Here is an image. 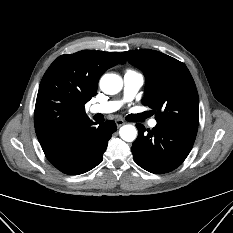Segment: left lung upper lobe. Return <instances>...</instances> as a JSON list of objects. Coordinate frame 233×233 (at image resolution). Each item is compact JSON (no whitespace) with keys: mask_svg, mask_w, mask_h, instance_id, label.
Returning <instances> with one entry per match:
<instances>
[{"mask_svg":"<svg viewBox=\"0 0 233 233\" xmlns=\"http://www.w3.org/2000/svg\"><path fill=\"white\" fill-rule=\"evenodd\" d=\"M123 55L144 72L146 86L142 102L156 112L158 124L198 127V93L185 64L150 49L127 51Z\"/></svg>","mask_w":233,"mask_h":233,"instance_id":"1","label":"left lung upper lobe"}]
</instances>
